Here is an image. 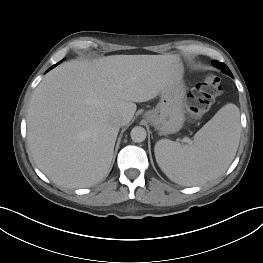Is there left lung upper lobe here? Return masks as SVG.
<instances>
[{"label":"left lung upper lobe","mask_w":263,"mask_h":263,"mask_svg":"<svg viewBox=\"0 0 263 263\" xmlns=\"http://www.w3.org/2000/svg\"><path fill=\"white\" fill-rule=\"evenodd\" d=\"M213 66L220 68L222 70V72L228 74L229 76L232 77V73L229 70V68L224 64V63H220L218 61H212Z\"/></svg>","instance_id":"left-lung-upper-lobe-1"}]
</instances>
